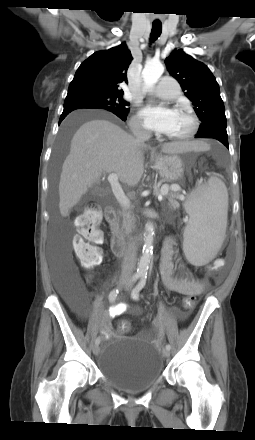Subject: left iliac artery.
<instances>
[{
	"label": "left iliac artery",
	"mask_w": 255,
	"mask_h": 440,
	"mask_svg": "<svg viewBox=\"0 0 255 440\" xmlns=\"http://www.w3.org/2000/svg\"><path fill=\"white\" fill-rule=\"evenodd\" d=\"M145 284H146V276L143 275L141 277L140 281L138 282V284L136 285V287L133 289V291L131 293V296H132V298L134 300H138L139 299V292L144 288ZM166 348L168 350H170L171 349V345L167 344Z\"/></svg>",
	"instance_id": "44dca946"
}]
</instances>
